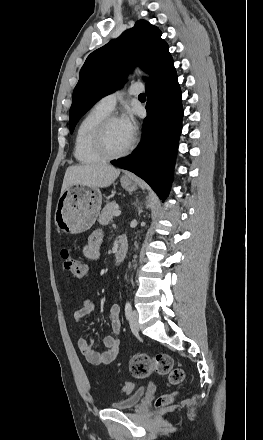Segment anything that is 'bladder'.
I'll return each mask as SVG.
<instances>
[{
    "label": "bladder",
    "instance_id": "obj_1",
    "mask_svg": "<svg viewBox=\"0 0 263 440\" xmlns=\"http://www.w3.org/2000/svg\"><path fill=\"white\" fill-rule=\"evenodd\" d=\"M144 395L145 389L143 387H140L129 396L119 401L113 402L111 404V407L116 410H133L140 404Z\"/></svg>",
    "mask_w": 263,
    "mask_h": 440
}]
</instances>
